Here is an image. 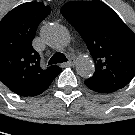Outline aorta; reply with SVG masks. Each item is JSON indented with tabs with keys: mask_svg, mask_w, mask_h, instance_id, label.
I'll return each mask as SVG.
<instances>
[{
	"mask_svg": "<svg viewBox=\"0 0 135 135\" xmlns=\"http://www.w3.org/2000/svg\"><path fill=\"white\" fill-rule=\"evenodd\" d=\"M42 38L50 47L60 50L70 43V34L68 30L59 24H50L42 32ZM76 70L81 77L88 78L95 71L92 60L87 57H79L76 62Z\"/></svg>",
	"mask_w": 135,
	"mask_h": 135,
	"instance_id": "1",
	"label": "aorta"
}]
</instances>
